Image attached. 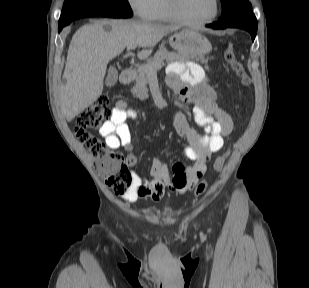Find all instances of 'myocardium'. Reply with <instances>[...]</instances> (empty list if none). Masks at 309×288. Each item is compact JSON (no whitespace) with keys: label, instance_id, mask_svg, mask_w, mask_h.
<instances>
[{"label":"myocardium","instance_id":"myocardium-1","mask_svg":"<svg viewBox=\"0 0 309 288\" xmlns=\"http://www.w3.org/2000/svg\"><path fill=\"white\" fill-rule=\"evenodd\" d=\"M169 2V8L171 11V14L176 22L190 26V27H202L207 24L212 23L218 16L220 12V2L219 0H214V10L213 13L206 19L199 20V21H192L187 18H185L180 11L179 8V0H168Z\"/></svg>","mask_w":309,"mask_h":288}]
</instances>
